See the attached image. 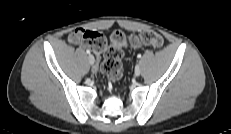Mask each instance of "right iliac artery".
I'll use <instances>...</instances> for the list:
<instances>
[{"label": "right iliac artery", "instance_id": "82829eb1", "mask_svg": "<svg viewBox=\"0 0 231 134\" xmlns=\"http://www.w3.org/2000/svg\"><path fill=\"white\" fill-rule=\"evenodd\" d=\"M86 53H87V54H90V50L87 49V50H86Z\"/></svg>", "mask_w": 231, "mask_h": 134}]
</instances>
